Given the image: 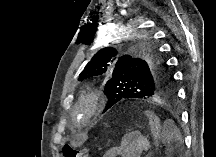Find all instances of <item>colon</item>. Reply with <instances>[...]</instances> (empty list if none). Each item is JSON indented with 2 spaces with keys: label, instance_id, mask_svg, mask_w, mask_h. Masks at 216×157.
Here are the masks:
<instances>
[{
  "label": "colon",
  "instance_id": "obj_1",
  "mask_svg": "<svg viewBox=\"0 0 216 157\" xmlns=\"http://www.w3.org/2000/svg\"><path fill=\"white\" fill-rule=\"evenodd\" d=\"M145 115L149 122V127L153 134H157L159 132L160 123L158 117L152 113L151 111H146ZM63 157H86V153L84 151L78 150L69 145H65L62 148Z\"/></svg>",
  "mask_w": 216,
  "mask_h": 157
}]
</instances>
